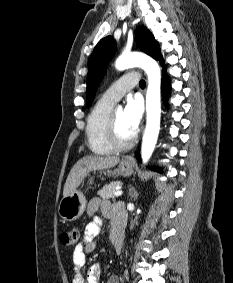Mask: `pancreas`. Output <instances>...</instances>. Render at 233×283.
Instances as JSON below:
<instances>
[{
	"instance_id": "obj_1",
	"label": "pancreas",
	"mask_w": 233,
	"mask_h": 283,
	"mask_svg": "<svg viewBox=\"0 0 233 283\" xmlns=\"http://www.w3.org/2000/svg\"><path fill=\"white\" fill-rule=\"evenodd\" d=\"M122 185L121 182L115 181L110 182L109 184H106L101 190L97 192V194L103 198V199H110L115 198V191L117 187H120Z\"/></svg>"
}]
</instances>
